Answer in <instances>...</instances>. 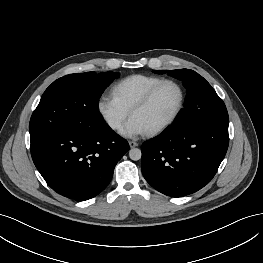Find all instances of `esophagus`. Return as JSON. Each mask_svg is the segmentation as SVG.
<instances>
[{"label": "esophagus", "mask_w": 263, "mask_h": 263, "mask_svg": "<svg viewBox=\"0 0 263 263\" xmlns=\"http://www.w3.org/2000/svg\"><path fill=\"white\" fill-rule=\"evenodd\" d=\"M129 146H130L131 148H134V147H137V146H138V143L135 142V141H129Z\"/></svg>", "instance_id": "esophagus-1"}]
</instances>
